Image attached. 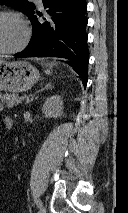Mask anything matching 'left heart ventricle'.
<instances>
[{"mask_svg":"<svg viewBox=\"0 0 128 213\" xmlns=\"http://www.w3.org/2000/svg\"><path fill=\"white\" fill-rule=\"evenodd\" d=\"M21 23L12 16H0V50L16 47L23 38Z\"/></svg>","mask_w":128,"mask_h":213,"instance_id":"obj_1","label":"left heart ventricle"}]
</instances>
